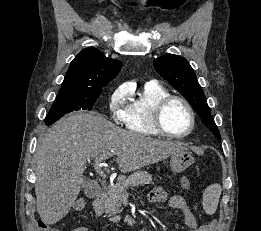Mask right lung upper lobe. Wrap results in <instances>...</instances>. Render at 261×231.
I'll use <instances>...</instances> for the list:
<instances>
[{
	"mask_svg": "<svg viewBox=\"0 0 261 231\" xmlns=\"http://www.w3.org/2000/svg\"><path fill=\"white\" fill-rule=\"evenodd\" d=\"M121 67L120 61L105 57L96 48L83 49L70 63L60 91H102Z\"/></svg>",
	"mask_w": 261,
	"mask_h": 231,
	"instance_id": "1",
	"label": "right lung upper lobe"
}]
</instances>
